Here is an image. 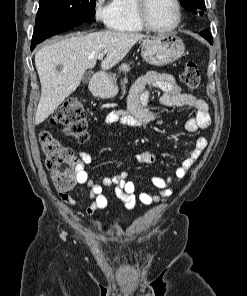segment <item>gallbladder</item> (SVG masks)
<instances>
[{
	"label": "gallbladder",
	"mask_w": 247,
	"mask_h": 296,
	"mask_svg": "<svg viewBox=\"0 0 247 296\" xmlns=\"http://www.w3.org/2000/svg\"><path fill=\"white\" fill-rule=\"evenodd\" d=\"M83 79L85 82H88L90 80V74H86Z\"/></svg>",
	"instance_id": "gallbladder-1"
}]
</instances>
